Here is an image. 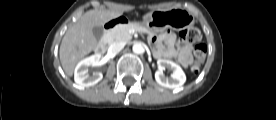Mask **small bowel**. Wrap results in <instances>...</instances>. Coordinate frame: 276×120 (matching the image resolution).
I'll use <instances>...</instances> for the list:
<instances>
[{"label": "small bowel", "mask_w": 276, "mask_h": 120, "mask_svg": "<svg viewBox=\"0 0 276 120\" xmlns=\"http://www.w3.org/2000/svg\"><path fill=\"white\" fill-rule=\"evenodd\" d=\"M150 41L155 46L157 58L177 59L183 67L191 64V47L182 40L176 42L174 33L168 31L158 37H150Z\"/></svg>", "instance_id": "1"}]
</instances>
